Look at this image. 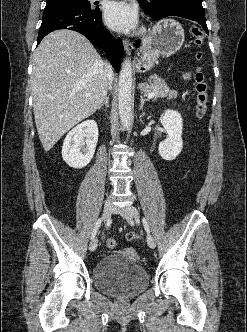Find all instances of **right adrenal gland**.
Returning <instances> with one entry per match:
<instances>
[{
    "label": "right adrenal gland",
    "instance_id": "2a0ac1e0",
    "mask_svg": "<svg viewBox=\"0 0 247 332\" xmlns=\"http://www.w3.org/2000/svg\"><path fill=\"white\" fill-rule=\"evenodd\" d=\"M106 107L108 108L109 107V97L106 96L105 99H104V102L99 106L98 110H100L102 107Z\"/></svg>",
    "mask_w": 247,
    "mask_h": 332
}]
</instances>
